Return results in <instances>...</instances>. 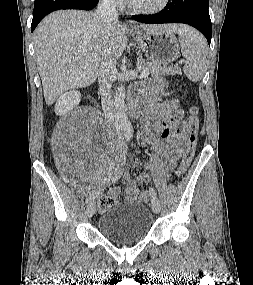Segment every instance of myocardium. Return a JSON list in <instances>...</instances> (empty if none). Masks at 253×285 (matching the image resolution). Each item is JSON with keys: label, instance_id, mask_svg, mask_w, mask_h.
<instances>
[{"label": "myocardium", "instance_id": "f54148a6", "mask_svg": "<svg viewBox=\"0 0 253 285\" xmlns=\"http://www.w3.org/2000/svg\"><path fill=\"white\" fill-rule=\"evenodd\" d=\"M170 3V0H162L161 3L155 7L142 8L134 6L130 0H128L127 5L130 11L137 14H156L163 11Z\"/></svg>", "mask_w": 253, "mask_h": 285}]
</instances>
